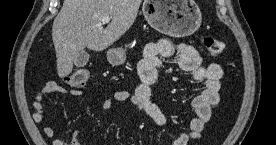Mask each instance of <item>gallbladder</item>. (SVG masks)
Instances as JSON below:
<instances>
[{
  "label": "gallbladder",
  "mask_w": 276,
  "mask_h": 145,
  "mask_svg": "<svg viewBox=\"0 0 276 145\" xmlns=\"http://www.w3.org/2000/svg\"><path fill=\"white\" fill-rule=\"evenodd\" d=\"M89 61V54L86 51H81L78 53L74 64L76 67H84Z\"/></svg>",
  "instance_id": "gallbladder-1"
}]
</instances>
